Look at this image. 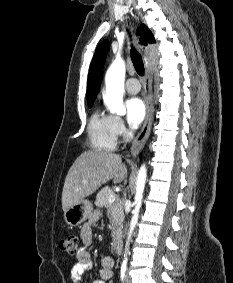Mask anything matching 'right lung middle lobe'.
<instances>
[{
	"label": "right lung middle lobe",
	"mask_w": 233,
	"mask_h": 283,
	"mask_svg": "<svg viewBox=\"0 0 233 283\" xmlns=\"http://www.w3.org/2000/svg\"><path fill=\"white\" fill-rule=\"evenodd\" d=\"M93 104L88 105L89 107H91Z\"/></svg>",
	"instance_id": "obj_1"
}]
</instances>
